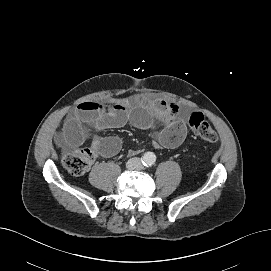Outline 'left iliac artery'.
Here are the masks:
<instances>
[{
	"label": "left iliac artery",
	"instance_id": "obj_1",
	"mask_svg": "<svg viewBox=\"0 0 271 271\" xmlns=\"http://www.w3.org/2000/svg\"><path fill=\"white\" fill-rule=\"evenodd\" d=\"M152 164H153V161H151L149 165H152Z\"/></svg>",
	"mask_w": 271,
	"mask_h": 271
}]
</instances>
